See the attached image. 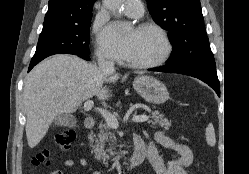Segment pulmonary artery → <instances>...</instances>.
I'll return each mask as SVG.
<instances>
[{
  "label": "pulmonary artery",
  "mask_w": 249,
  "mask_h": 174,
  "mask_svg": "<svg viewBox=\"0 0 249 174\" xmlns=\"http://www.w3.org/2000/svg\"><path fill=\"white\" fill-rule=\"evenodd\" d=\"M123 9L129 17L138 18L143 12V2L141 0H125Z\"/></svg>",
  "instance_id": "e3ab8cb5"
}]
</instances>
